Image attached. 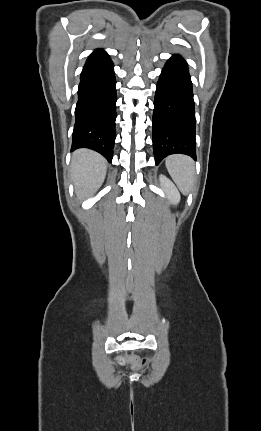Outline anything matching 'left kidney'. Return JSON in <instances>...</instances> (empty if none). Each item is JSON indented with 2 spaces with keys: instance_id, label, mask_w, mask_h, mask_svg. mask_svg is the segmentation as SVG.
<instances>
[{
  "instance_id": "5707ae66",
  "label": "left kidney",
  "mask_w": 261,
  "mask_h": 431,
  "mask_svg": "<svg viewBox=\"0 0 261 431\" xmlns=\"http://www.w3.org/2000/svg\"><path fill=\"white\" fill-rule=\"evenodd\" d=\"M160 182L162 185V188L165 190L168 198L170 199V202L173 204H177L180 201V195L172 182L167 179L164 175H160Z\"/></svg>"
}]
</instances>
